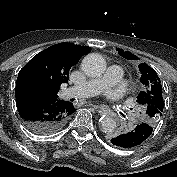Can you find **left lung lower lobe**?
I'll list each match as a JSON object with an SVG mask.
<instances>
[{
	"label": "left lung lower lobe",
	"mask_w": 177,
	"mask_h": 177,
	"mask_svg": "<svg viewBox=\"0 0 177 177\" xmlns=\"http://www.w3.org/2000/svg\"><path fill=\"white\" fill-rule=\"evenodd\" d=\"M153 127L145 122L133 130L113 136L111 143L120 148H133L142 144L152 133Z\"/></svg>",
	"instance_id": "left-lung-lower-lobe-1"
}]
</instances>
